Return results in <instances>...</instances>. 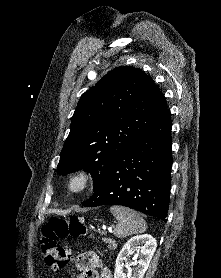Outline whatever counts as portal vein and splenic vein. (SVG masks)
<instances>
[{"label":"portal vein and splenic vein","instance_id":"1","mask_svg":"<svg viewBox=\"0 0 221 278\" xmlns=\"http://www.w3.org/2000/svg\"><path fill=\"white\" fill-rule=\"evenodd\" d=\"M108 230H111V231H112V229H111V228H108Z\"/></svg>","mask_w":221,"mask_h":278}]
</instances>
